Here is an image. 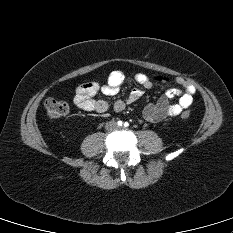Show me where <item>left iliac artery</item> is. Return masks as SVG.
Masks as SVG:
<instances>
[{
	"instance_id": "left-iliac-artery-1",
	"label": "left iliac artery",
	"mask_w": 233,
	"mask_h": 233,
	"mask_svg": "<svg viewBox=\"0 0 233 233\" xmlns=\"http://www.w3.org/2000/svg\"><path fill=\"white\" fill-rule=\"evenodd\" d=\"M124 126H125V127H128V126H129V123H128V122H125V123H124Z\"/></svg>"
}]
</instances>
